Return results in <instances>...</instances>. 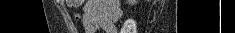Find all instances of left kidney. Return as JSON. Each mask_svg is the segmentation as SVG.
<instances>
[{
	"instance_id": "left-kidney-1",
	"label": "left kidney",
	"mask_w": 235,
	"mask_h": 33,
	"mask_svg": "<svg viewBox=\"0 0 235 33\" xmlns=\"http://www.w3.org/2000/svg\"><path fill=\"white\" fill-rule=\"evenodd\" d=\"M127 2L130 4V5H134L137 3L136 0H127Z\"/></svg>"
}]
</instances>
